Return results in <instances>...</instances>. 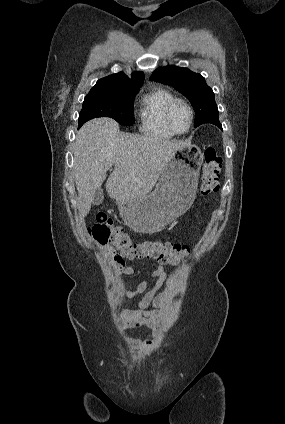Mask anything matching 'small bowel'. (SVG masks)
Instances as JSON below:
<instances>
[{"label": "small bowel", "instance_id": "obj_1", "mask_svg": "<svg viewBox=\"0 0 285 424\" xmlns=\"http://www.w3.org/2000/svg\"><path fill=\"white\" fill-rule=\"evenodd\" d=\"M149 270L152 278L156 280L152 288H149L147 281H142L134 290L121 289L123 296L126 298L135 296H140V298L138 300L139 311L121 313L119 329H137L151 326L157 315L154 309H159L166 304L172 292V282L163 266L153 265L149 267ZM136 273L137 269L131 266L125 267L122 270V274L126 276ZM164 286L166 288L161 290ZM128 342L144 353L152 352L155 348L154 342L148 339H135Z\"/></svg>", "mask_w": 285, "mask_h": 424}]
</instances>
